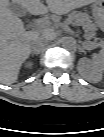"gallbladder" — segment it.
Segmentation results:
<instances>
[{"instance_id": "gallbladder-1", "label": "gallbladder", "mask_w": 104, "mask_h": 137, "mask_svg": "<svg viewBox=\"0 0 104 137\" xmlns=\"http://www.w3.org/2000/svg\"><path fill=\"white\" fill-rule=\"evenodd\" d=\"M9 8L11 12L18 17H23L27 14V10L18 4L11 3Z\"/></svg>"}]
</instances>
